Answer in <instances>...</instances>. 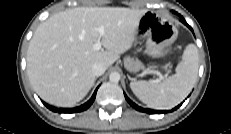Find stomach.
Listing matches in <instances>:
<instances>
[{
    "label": "stomach",
    "instance_id": "stomach-1",
    "mask_svg": "<svg viewBox=\"0 0 231 134\" xmlns=\"http://www.w3.org/2000/svg\"><path fill=\"white\" fill-rule=\"evenodd\" d=\"M177 36L176 26L153 11L140 18L136 29V38L146 39L145 53L154 58L164 57Z\"/></svg>",
    "mask_w": 231,
    "mask_h": 134
}]
</instances>
